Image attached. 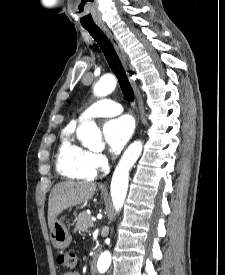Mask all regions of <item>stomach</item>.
Listing matches in <instances>:
<instances>
[{"instance_id":"obj_1","label":"stomach","mask_w":225,"mask_h":275,"mask_svg":"<svg viewBox=\"0 0 225 275\" xmlns=\"http://www.w3.org/2000/svg\"><path fill=\"white\" fill-rule=\"evenodd\" d=\"M50 239L54 247L59 249L67 248L71 241L72 236L69 228L62 220H55L50 228Z\"/></svg>"}]
</instances>
